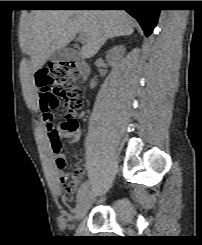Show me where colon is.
Wrapping results in <instances>:
<instances>
[{
  "label": "colon",
  "instance_id": "5ec220e1",
  "mask_svg": "<svg viewBox=\"0 0 202 245\" xmlns=\"http://www.w3.org/2000/svg\"><path fill=\"white\" fill-rule=\"evenodd\" d=\"M35 81L38 88V109L42 114L45 125L51 127L54 123L52 113L54 93L64 101L68 110L69 119L66 121L64 128L66 130L74 129L76 122L73 118L84 106L82 89L78 85L79 71L76 63L63 60L40 68L35 73ZM48 137L51 139L55 150L62 148L61 137L56 130H49Z\"/></svg>",
  "mask_w": 202,
  "mask_h": 245
}]
</instances>
